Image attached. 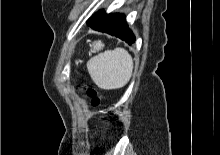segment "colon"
I'll list each match as a JSON object with an SVG mask.
<instances>
[{"label": "colon", "mask_w": 220, "mask_h": 155, "mask_svg": "<svg viewBox=\"0 0 220 155\" xmlns=\"http://www.w3.org/2000/svg\"><path fill=\"white\" fill-rule=\"evenodd\" d=\"M84 90L86 91L87 95L90 97L91 104L93 106H99L101 104V96L95 88L84 86Z\"/></svg>", "instance_id": "1"}]
</instances>
